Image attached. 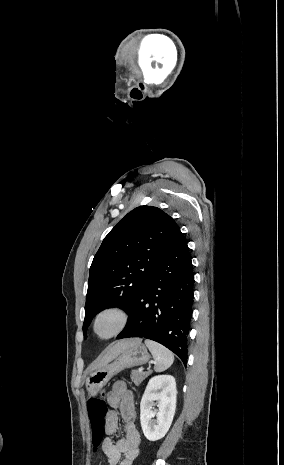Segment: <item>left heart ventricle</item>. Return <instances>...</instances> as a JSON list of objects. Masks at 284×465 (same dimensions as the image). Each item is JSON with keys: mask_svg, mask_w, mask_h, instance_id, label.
Masks as SVG:
<instances>
[{"mask_svg": "<svg viewBox=\"0 0 284 465\" xmlns=\"http://www.w3.org/2000/svg\"><path fill=\"white\" fill-rule=\"evenodd\" d=\"M115 326V320L112 317H104L99 324L98 331L101 334L109 333Z\"/></svg>", "mask_w": 284, "mask_h": 465, "instance_id": "left-heart-ventricle-1", "label": "left heart ventricle"}]
</instances>
